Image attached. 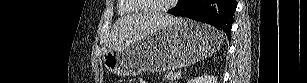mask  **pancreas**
Listing matches in <instances>:
<instances>
[{
	"mask_svg": "<svg viewBox=\"0 0 307 83\" xmlns=\"http://www.w3.org/2000/svg\"><path fill=\"white\" fill-rule=\"evenodd\" d=\"M164 78L168 83H175V73L174 72H167L164 74Z\"/></svg>",
	"mask_w": 307,
	"mask_h": 83,
	"instance_id": "obj_1",
	"label": "pancreas"
}]
</instances>
